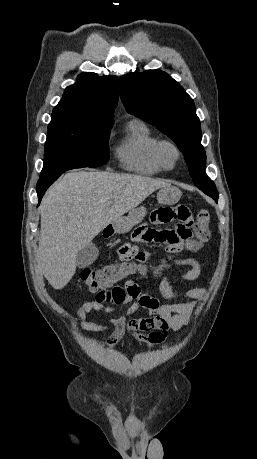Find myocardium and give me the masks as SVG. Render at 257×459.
<instances>
[{
    "label": "myocardium",
    "instance_id": "myocardium-1",
    "mask_svg": "<svg viewBox=\"0 0 257 459\" xmlns=\"http://www.w3.org/2000/svg\"><path fill=\"white\" fill-rule=\"evenodd\" d=\"M171 148L175 153V160L172 164H168L164 158V149ZM155 158L164 170H173L178 165L182 157L180 148L171 140H159L154 150Z\"/></svg>",
    "mask_w": 257,
    "mask_h": 459
}]
</instances>
